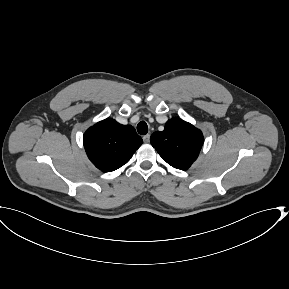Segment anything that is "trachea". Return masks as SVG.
<instances>
[{
    "label": "trachea",
    "instance_id": "obj_1",
    "mask_svg": "<svg viewBox=\"0 0 289 289\" xmlns=\"http://www.w3.org/2000/svg\"><path fill=\"white\" fill-rule=\"evenodd\" d=\"M137 131L141 135H146L147 132H148L147 123L145 121L139 122L138 125H137Z\"/></svg>",
    "mask_w": 289,
    "mask_h": 289
}]
</instances>
